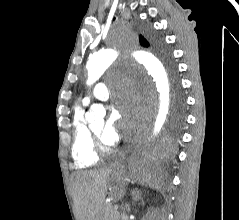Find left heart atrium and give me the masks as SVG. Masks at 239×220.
<instances>
[{
  "label": "left heart atrium",
  "instance_id": "39dd6f15",
  "mask_svg": "<svg viewBox=\"0 0 239 220\" xmlns=\"http://www.w3.org/2000/svg\"><path fill=\"white\" fill-rule=\"evenodd\" d=\"M130 109L131 102L128 98H117L115 106L112 108L102 130V139L106 143L111 145L118 142L121 137L120 130L129 133L135 127L133 119L126 117L130 113Z\"/></svg>",
  "mask_w": 239,
  "mask_h": 220
}]
</instances>
